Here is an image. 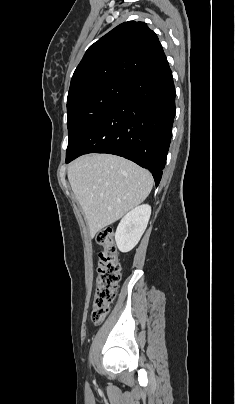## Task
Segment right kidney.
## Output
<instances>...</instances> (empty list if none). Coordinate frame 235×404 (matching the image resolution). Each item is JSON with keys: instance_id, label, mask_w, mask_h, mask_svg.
<instances>
[{"instance_id": "ca27d5eb", "label": "right kidney", "mask_w": 235, "mask_h": 404, "mask_svg": "<svg viewBox=\"0 0 235 404\" xmlns=\"http://www.w3.org/2000/svg\"><path fill=\"white\" fill-rule=\"evenodd\" d=\"M150 215L151 207L144 204L122 218L115 233V241L121 252H129L137 245L147 227Z\"/></svg>"}]
</instances>
